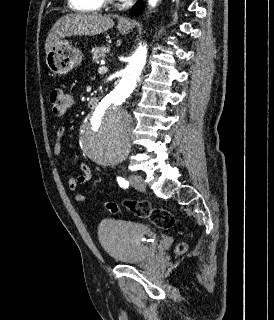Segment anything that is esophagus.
Listing matches in <instances>:
<instances>
[{"instance_id": "34e87169", "label": "esophagus", "mask_w": 274, "mask_h": 320, "mask_svg": "<svg viewBox=\"0 0 274 320\" xmlns=\"http://www.w3.org/2000/svg\"><path fill=\"white\" fill-rule=\"evenodd\" d=\"M121 23L126 24V20H120Z\"/></svg>"}]
</instances>
